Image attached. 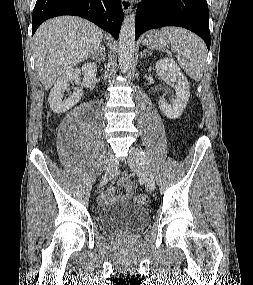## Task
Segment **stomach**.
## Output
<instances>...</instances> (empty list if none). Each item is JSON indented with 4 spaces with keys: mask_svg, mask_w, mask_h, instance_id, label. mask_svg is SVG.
<instances>
[{
    "mask_svg": "<svg viewBox=\"0 0 253 285\" xmlns=\"http://www.w3.org/2000/svg\"><path fill=\"white\" fill-rule=\"evenodd\" d=\"M169 43L167 36L159 30L150 31L143 39V45L154 50H163Z\"/></svg>",
    "mask_w": 253,
    "mask_h": 285,
    "instance_id": "stomach-1",
    "label": "stomach"
}]
</instances>
